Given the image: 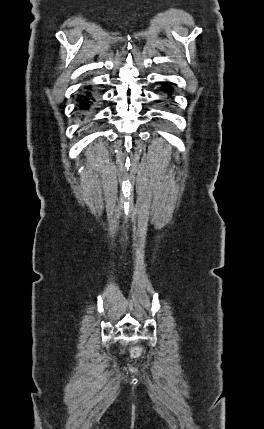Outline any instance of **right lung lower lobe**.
<instances>
[{"label": "right lung lower lobe", "mask_w": 264, "mask_h": 429, "mask_svg": "<svg viewBox=\"0 0 264 429\" xmlns=\"http://www.w3.org/2000/svg\"><path fill=\"white\" fill-rule=\"evenodd\" d=\"M87 96H90V93H87ZM77 101L80 102L79 109H88L91 101L86 96L80 97L78 96Z\"/></svg>", "instance_id": "right-lung-lower-lobe-1"}]
</instances>
